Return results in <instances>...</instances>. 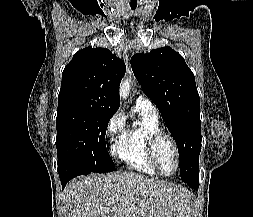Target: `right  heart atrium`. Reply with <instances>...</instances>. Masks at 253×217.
I'll return each instance as SVG.
<instances>
[{"instance_id": "d8ad5b80", "label": "right heart atrium", "mask_w": 253, "mask_h": 217, "mask_svg": "<svg viewBox=\"0 0 253 217\" xmlns=\"http://www.w3.org/2000/svg\"><path fill=\"white\" fill-rule=\"evenodd\" d=\"M124 131V118L120 112L114 113L105 127V135L110 141H117Z\"/></svg>"}]
</instances>
